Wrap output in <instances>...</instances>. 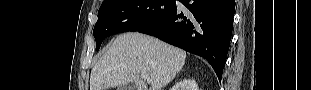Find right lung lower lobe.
I'll list each match as a JSON object with an SVG mask.
<instances>
[{
	"label": "right lung lower lobe",
	"instance_id": "right-lung-lower-lobe-1",
	"mask_svg": "<svg viewBox=\"0 0 311 90\" xmlns=\"http://www.w3.org/2000/svg\"><path fill=\"white\" fill-rule=\"evenodd\" d=\"M179 1L187 10L174 7L138 32L206 58L220 81L232 35L235 0Z\"/></svg>",
	"mask_w": 311,
	"mask_h": 90
}]
</instances>
